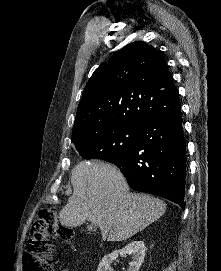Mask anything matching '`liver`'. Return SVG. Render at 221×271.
<instances>
[{
  "label": "liver",
  "mask_w": 221,
  "mask_h": 271,
  "mask_svg": "<svg viewBox=\"0 0 221 271\" xmlns=\"http://www.w3.org/2000/svg\"><path fill=\"white\" fill-rule=\"evenodd\" d=\"M73 193L60 211V223L77 227L91 221L103 241H124L165 213L163 199L130 193L120 169L104 161H79L72 169Z\"/></svg>",
  "instance_id": "1"
}]
</instances>
